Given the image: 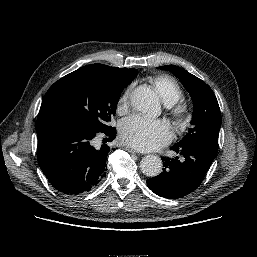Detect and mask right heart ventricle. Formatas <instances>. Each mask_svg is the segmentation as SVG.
<instances>
[{
	"label": "right heart ventricle",
	"mask_w": 257,
	"mask_h": 257,
	"mask_svg": "<svg viewBox=\"0 0 257 257\" xmlns=\"http://www.w3.org/2000/svg\"><path fill=\"white\" fill-rule=\"evenodd\" d=\"M151 83L159 94L163 103L171 106L183 97V90L179 83L170 76H158L151 78Z\"/></svg>",
	"instance_id": "right-heart-ventricle-1"
}]
</instances>
